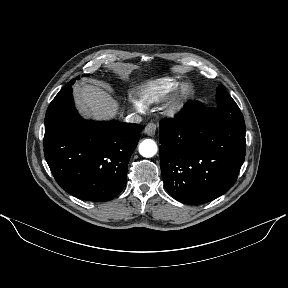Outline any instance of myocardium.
<instances>
[{
	"label": "myocardium",
	"mask_w": 288,
	"mask_h": 288,
	"mask_svg": "<svg viewBox=\"0 0 288 288\" xmlns=\"http://www.w3.org/2000/svg\"><path fill=\"white\" fill-rule=\"evenodd\" d=\"M193 97V86L188 82L180 84L170 99L167 113L172 117L178 116L188 106Z\"/></svg>",
	"instance_id": "1"
}]
</instances>
